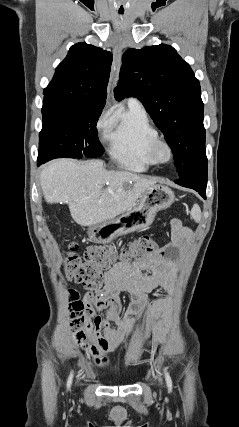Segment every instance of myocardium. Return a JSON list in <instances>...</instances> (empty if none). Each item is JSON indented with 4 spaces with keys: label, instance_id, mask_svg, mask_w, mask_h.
<instances>
[{
    "label": "myocardium",
    "instance_id": "f54148a6",
    "mask_svg": "<svg viewBox=\"0 0 239 427\" xmlns=\"http://www.w3.org/2000/svg\"><path fill=\"white\" fill-rule=\"evenodd\" d=\"M160 147H164L167 151V156L164 159L160 158L158 155V151H159ZM149 155H150L151 160L155 164H167L173 158V147L168 140H166L163 137L158 136L150 144Z\"/></svg>",
    "mask_w": 239,
    "mask_h": 427
}]
</instances>
